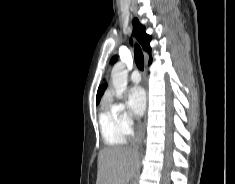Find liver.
<instances>
[{"label":"liver","mask_w":235,"mask_h":184,"mask_svg":"<svg viewBox=\"0 0 235 184\" xmlns=\"http://www.w3.org/2000/svg\"><path fill=\"white\" fill-rule=\"evenodd\" d=\"M138 170L131 148H103L98 156L97 184H128Z\"/></svg>","instance_id":"liver-1"}]
</instances>
